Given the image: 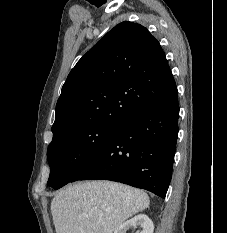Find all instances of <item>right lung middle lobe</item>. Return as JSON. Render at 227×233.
<instances>
[{
  "label": "right lung middle lobe",
  "mask_w": 227,
  "mask_h": 233,
  "mask_svg": "<svg viewBox=\"0 0 227 233\" xmlns=\"http://www.w3.org/2000/svg\"><path fill=\"white\" fill-rule=\"evenodd\" d=\"M119 126L83 125L54 136L47 150L51 169L47 185L57 190L68 184L105 145Z\"/></svg>",
  "instance_id": "1"
}]
</instances>
